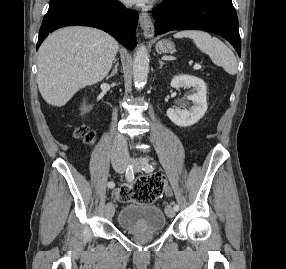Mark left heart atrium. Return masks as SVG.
<instances>
[{
  "label": "left heart atrium",
  "mask_w": 286,
  "mask_h": 269,
  "mask_svg": "<svg viewBox=\"0 0 286 269\" xmlns=\"http://www.w3.org/2000/svg\"><path fill=\"white\" fill-rule=\"evenodd\" d=\"M127 4H136V5H145L147 3L152 2L153 0H122Z\"/></svg>",
  "instance_id": "39dd6f15"
}]
</instances>
